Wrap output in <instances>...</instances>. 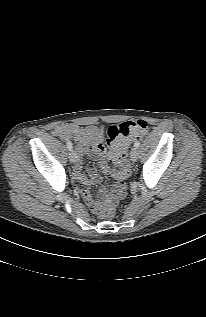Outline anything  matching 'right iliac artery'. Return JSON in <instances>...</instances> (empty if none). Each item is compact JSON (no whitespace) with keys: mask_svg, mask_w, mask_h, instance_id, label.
<instances>
[{"mask_svg":"<svg viewBox=\"0 0 206 317\" xmlns=\"http://www.w3.org/2000/svg\"><path fill=\"white\" fill-rule=\"evenodd\" d=\"M66 145H67V148H68L69 150H72L73 146H72V143H71L70 141H67V142H66Z\"/></svg>","mask_w":206,"mask_h":317,"instance_id":"right-iliac-artery-1","label":"right iliac artery"}]
</instances>
